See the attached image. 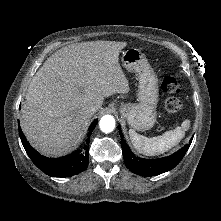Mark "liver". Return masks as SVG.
<instances>
[{"label": "liver", "instance_id": "obj_1", "mask_svg": "<svg viewBox=\"0 0 221 221\" xmlns=\"http://www.w3.org/2000/svg\"><path fill=\"white\" fill-rule=\"evenodd\" d=\"M125 42L91 41L65 46L52 54L32 78L23 104L21 128L42 154L67 153L90 118L87 104L101 108L104 97L129 92L120 63Z\"/></svg>", "mask_w": 221, "mask_h": 221}]
</instances>
